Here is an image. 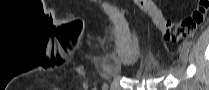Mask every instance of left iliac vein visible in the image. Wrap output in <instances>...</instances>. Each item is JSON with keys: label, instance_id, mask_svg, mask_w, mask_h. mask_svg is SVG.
<instances>
[{"label": "left iliac vein", "instance_id": "1", "mask_svg": "<svg viewBox=\"0 0 209 90\" xmlns=\"http://www.w3.org/2000/svg\"><path fill=\"white\" fill-rule=\"evenodd\" d=\"M180 52V59L183 63H187L188 61V51L187 49L182 45L179 47Z\"/></svg>", "mask_w": 209, "mask_h": 90}]
</instances>
